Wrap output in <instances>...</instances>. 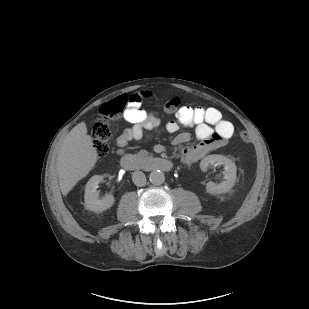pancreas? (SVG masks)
I'll return each instance as SVG.
<instances>
[{
    "label": "pancreas",
    "instance_id": "cf45deb5",
    "mask_svg": "<svg viewBox=\"0 0 309 309\" xmlns=\"http://www.w3.org/2000/svg\"><path fill=\"white\" fill-rule=\"evenodd\" d=\"M149 153L146 150H140L136 155H133L132 158L136 161L140 162L146 157H148Z\"/></svg>",
    "mask_w": 309,
    "mask_h": 309
}]
</instances>
